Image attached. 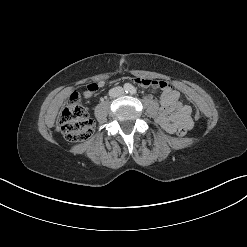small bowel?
Here are the masks:
<instances>
[{
    "mask_svg": "<svg viewBox=\"0 0 247 247\" xmlns=\"http://www.w3.org/2000/svg\"><path fill=\"white\" fill-rule=\"evenodd\" d=\"M134 82L141 87L161 91V108L157 121L166 132L173 134L179 127H184L187 130L192 128L191 107L181 102L179 91L175 90L168 82L141 77L134 78ZM104 86L105 81L103 80L91 83L87 90L82 93V97L91 98L95 91Z\"/></svg>",
    "mask_w": 247,
    "mask_h": 247,
    "instance_id": "c3829d8e",
    "label": "small bowel"
}]
</instances>
